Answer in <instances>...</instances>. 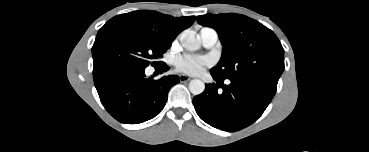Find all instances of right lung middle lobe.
I'll use <instances>...</instances> for the list:
<instances>
[{"label":"right lung middle lobe","instance_id":"obj_1","mask_svg":"<svg viewBox=\"0 0 369 152\" xmlns=\"http://www.w3.org/2000/svg\"><path fill=\"white\" fill-rule=\"evenodd\" d=\"M171 46L154 35L120 19L112 18L101 27L92 47L93 75L120 65L146 68ZM161 62H152L153 66Z\"/></svg>","mask_w":369,"mask_h":152}]
</instances>
